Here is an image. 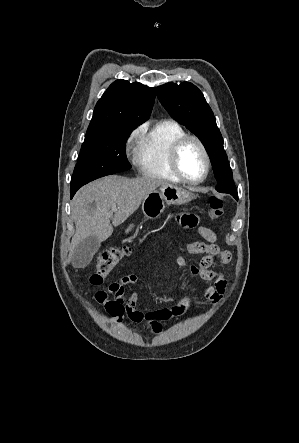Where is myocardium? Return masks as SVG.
<instances>
[{
  "mask_svg": "<svg viewBox=\"0 0 299 443\" xmlns=\"http://www.w3.org/2000/svg\"><path fill=\"white\" fill-rule=\"evenodd\" d=\"M188 142H195L199 146V148L202 152L203 158H204V173L200 178L195 179V180L188 178L184 174V172L182 171V169L180 167V162H179L180 152H181L182 148L184 147V145ZM170 163H171L172 170L176 174V176L181 181H183L187 184H192V185H196V184H200V183L204 182L209 175L210 167H211L210 156H209V153H208L207 148H206L205 144L203 143V141L196 136L188 135V134L179 138L172 145L171 152H170Z\"/></svg>",
  "mask_w": 299,
  "mask_h": 443,
  "instance_id": "f54148a6",
  "label": "myocardium"
}]
</instances>
